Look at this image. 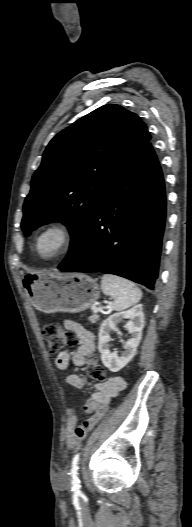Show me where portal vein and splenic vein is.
Segmentation results:
<instances>
[{
  "mask_svg": "<svg viewBox=\"0 0 192 527\" xmlns=\"http://www.w3.org/2000/svg\"><path fill=\"white\" fill-rule=\"evenodd\" d=\"M100 309L99 308H93V312L97 313Z\"/></svg>",
  "mask_w": 192,
  "mask_h": 527,
  "instance_id": "1",
  "label": "portal vein and splenic vein"
}]
</instances>
